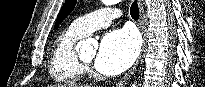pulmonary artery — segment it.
Masks as SVG:
<instances>
[{
  "instance_id": "e3ab8cb5",
  "label": "pulmonary artery",
  "mask_w": 205,
  "mask_h": 87,
  "mask_svg": "<svg viewBox=\"0 0 205 87\" xmlns=\"http://www.w3.org/2000/svg\"><path fill=\"white\" fill-rule=\"evenodd\" d=\"M119 16L118 9L103 8L74 20L72 27L83 35H89L97 29L108 27Z\"/></svg>"
}]
</instances>
